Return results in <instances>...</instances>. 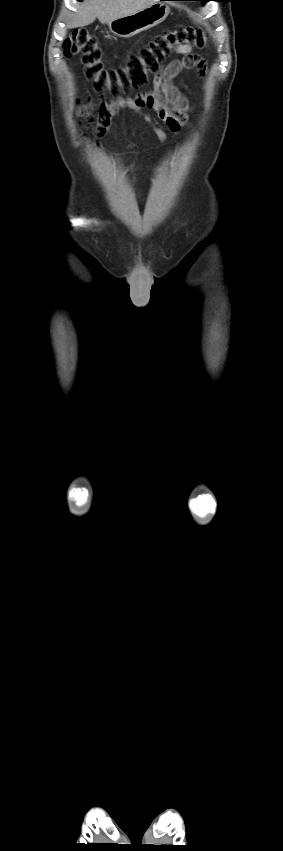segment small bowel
<instances>
[{
  "label": "small bowel",
  "mask_w": 283,
  "mask_h": 851,
  "mask_svg": "<svg viewBox=\"0 0 283 851\" xmlns=\"http://www.w3.org/2000/svg\"><path fill=\"white\" fill-rule=\"evenodd\" d=\"M178 54L186 55L183 60H173L168 65L160 68L154 76V87L147 93L137 95L135 98H119L114 102H105L99 115L90 117L93 107L88 102L78 108V114L90 117L95 124V145L99 146V140L108 132L111 119L118 113L119 109H131L139 114L153 129L161 142H166V133L143 112L148 108L156 112L157 117L173 132L178 133L187 126L188 113L193 110L186 97H184L173 84L174 78L185 68L197 67L201 75L207 71L205 62L192 53V47H180L174 50Z\"/></svg>",
  "instance_id": "1"
}]
</instances>
